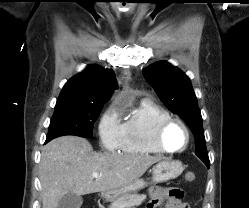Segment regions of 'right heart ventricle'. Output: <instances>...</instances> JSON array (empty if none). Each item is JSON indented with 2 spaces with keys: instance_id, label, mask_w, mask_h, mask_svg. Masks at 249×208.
I'll return each mask as SVG.
<instances>
[{
  "instance_id": "e07e8e85",
  "label": "right heart ventricle",
  "mask_w": 249,
  "mask_h": 208,
  "mask_svg": "<svg viewBox=\"0 0 249 208\" xmlns=\"http://www.w3.org/2000/svg\"><path fill=\"white\" fill-rule=\"evenodd\" d=\"M171 117L165 108L143 99L138 102L122 123V152L132 155L162 153L154 144V132L157 125Z\"/></svg>"
}]
</instances>
